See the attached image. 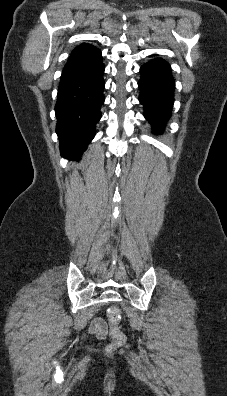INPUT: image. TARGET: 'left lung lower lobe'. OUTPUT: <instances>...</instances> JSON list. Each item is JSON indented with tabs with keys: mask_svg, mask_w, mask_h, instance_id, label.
<instances>
[{
	"mask_svg": "<svg viewBox=\"0 0 227 396\" xmlns=\"http://www.w3.org/2000/svg\"><path fill=\"white\" fill-rule=\"evenodd\" d=\"M141 78L139 101L144 105V116L153 126L154 133H160L171 116L174 102L175 81L170 65L161 58H155L140 68Z\"/></svg>",
	"mask_w": 227,
	"mask_h": 396,
	"instance_id": "0a47b994",
	"label": "left lung lower lobe"
}]
</instances>
